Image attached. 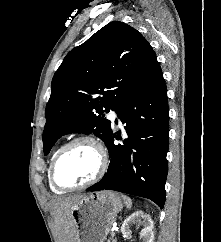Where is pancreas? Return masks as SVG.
Listing matches in <instances>:
<instances>
[{"label":"pancreas","mask_w":221,"mask_h":242,"mask_svg":"<svg viewBox=\"0 0 221 242\" xmlns=\"http://www.w3.org/2000/svg\"><path fill=\"white\" fill-rule=\"evenodd\" d=\"M108 242H116V238H111L110 240H108Z\"/></svg>","instance_id":"obj_1"}]
</instances>
